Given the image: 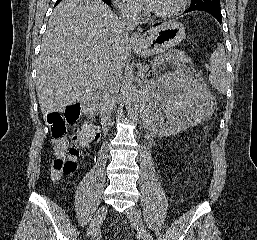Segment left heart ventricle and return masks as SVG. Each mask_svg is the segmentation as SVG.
<instances>
[{
	"instance_id": "b2bd125f",
	"label": "left heart ventricle",
	"mask_w": 257,
	"mask_h": 240,
	"mask_svg": "<svg viewBox=\"0 0 257 240\" xmlns=\"http://www.w3.org/2000/svg\"><path fill=\"white\" fill-rule=\"evenodd\" d=\"M176 3V0H157L155 7L153 8L156 12H163L171 9Z\"/></svg>"
}]
</instances>
